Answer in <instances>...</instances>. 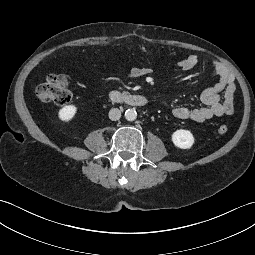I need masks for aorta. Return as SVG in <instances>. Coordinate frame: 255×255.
Segmentation results:
<instances>
[{
    "instance_id": "obj_1",
    "label": "aorta",
    "mask_w": 255,
    "mask_h": 255,
    "mask_svg": "<svg viewBox=\"0 0 255 255\" xmlns=\"http://www.w3.org/2000/svg\"><path fill=\"white\" fill-rule=\"evenodd\" d=\"M125 118L128 121H134L137 118V112L135 109H127L125 111Z\"/></svg>"
}]
</instances>
